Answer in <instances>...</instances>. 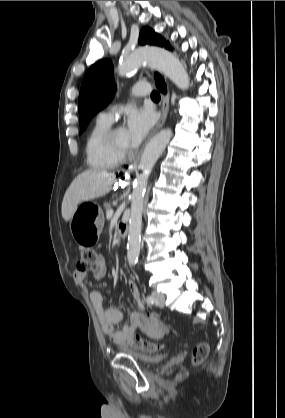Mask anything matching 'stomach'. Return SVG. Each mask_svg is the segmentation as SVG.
Listing matches in <instances>:
<instances>
[{
  "label": "stomach",
  "instance_id": "0dacf381",
  "mask_svg": "<svg viewBox=\"0 0 285 418\" xmlns=\"http://www.w3.org/2000/svg\"><path fill=\"white\" fill-rule=\"evenodd\" d=\"M80 204L70 219V230L73 238L80 245H87L96 241L103 225V214L100 207L92 214L83 209Z\"/></svg>",
  "mask_w": 285,
  "mask_h": 418
}]
</instances>
